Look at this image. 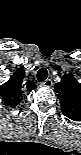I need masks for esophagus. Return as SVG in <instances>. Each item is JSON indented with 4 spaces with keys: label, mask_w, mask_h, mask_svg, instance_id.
Instances as JSON below:
<instances>
[{
    "label": "esophagus",
    "mask_w": 81,
    "mask_h": 155,
    "mask_svg": "<svg viewBox=\"0 0 81 155\" xmlns=\"http://www.w3.org/2000/svg\"><path fill=\"white\" fill-rule=\"evenodd\" d=\"M52 80L51 79H47V80H45L44 82H42V83H40V85L42 86V87H51L52 86Z\"/></svg>",
    "instance_id": "obj_1"
}]
</instances>
